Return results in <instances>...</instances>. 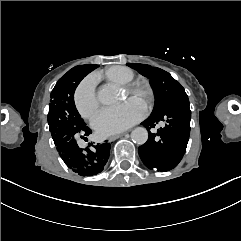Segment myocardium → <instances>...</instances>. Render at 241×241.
<instances>
[{"mask_svg": "<svg viewBox=\"0 0 241 241\" xmlns=\"http://www.w3.org/2000/svg\"><path fill=\"white\" fill-rule=\"evenodd\" d=\"M141 77H142V74L141 73H138L137 74V77H136V80L137 81H140L141 80ZM126 88L128 89H134L135 86H136V82L135 81H130L128 84L125 85Z\"/></svg>", "mask_w": 241, "mask_h": 241, "instance_id": "obj_1", "label": "myocardium"}]
</instances>
